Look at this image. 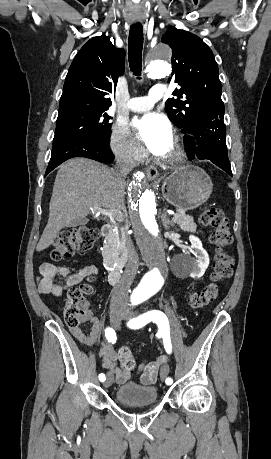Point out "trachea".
<instances>
[{"mask_svg": "<svg viewBox=\"0 0 271 459\" xmlns=\"http://www.w3.org/2000/svg\"><path fill=\"white\" fill-rule=\"evenodd\" d=\"M143 26L134 24L130 27L128 38V61L130 70L138 79L142 70Z\"/></svg>", "mask_w": 271, "mask_h": 459, "instance_id": "trachea-1", "label": "trachea"}]
</instances>
